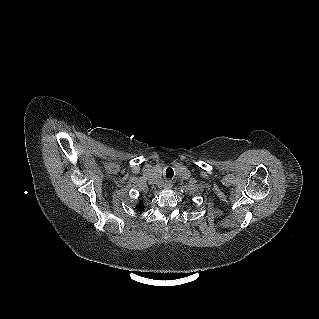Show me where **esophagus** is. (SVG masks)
Instances as JSON below:
<instances>
[{
	"label": "esophagus",
	"instance_id": "esophagus-1",
	"mask_svg": "<svg viewBox=\"0 0 319 319\" xmlns=\"http://www.w3.org/2000/svg\"><path fill=\"white\" fill-rule=\"evenodd\" d=\"M172 186H173V184H172V181H170V180L166 181L164 184L165 189H171Z\"/></svg>",
	"mask_w": 319,
	"mask_h": 319
}]
</instances>
